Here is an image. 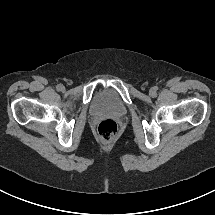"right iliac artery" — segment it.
Masks as SVG:
<instances>
[{
  "label": "right iliac artery",
  "instance_id": "right-iliac-artery-1",
  "mask_svg": "<svg viewBox=\"0 0 215 215\" xmlns=\"http://www.w3.org/2000/svg\"><path fill=\"white\" fill-rule=\"evenodd\" d=\"M61 86H62L61 84L57 85V87H56V88H57V90H58V91H60Z\"/></svg>",
  "mask_w": 215,
  "mask_h": 215
}]
</instances>
